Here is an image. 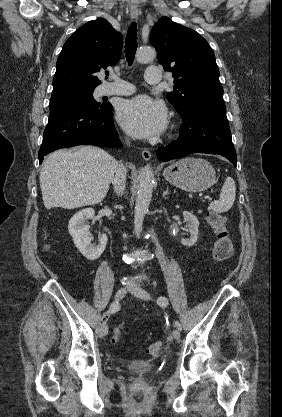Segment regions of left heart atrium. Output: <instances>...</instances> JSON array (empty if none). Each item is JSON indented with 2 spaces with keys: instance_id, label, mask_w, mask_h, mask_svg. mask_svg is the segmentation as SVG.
Returning <instances> with one entry per match:
<instances>
[{
  "instance_id": "left-heart-atrium-1",
  "label": "left heart atrium",
  "mask_w": 282,
  "mask_h": 417,
  "mask_svg": "<svg viewBox=\"0 0 282 417\" xmlns=\"http://www.w3.org/2000/svg\"><path fill=\"white\" fill-rule=\"evenodd\" d=\"M123 127L137 136L160 133L166 125V111L162 103L146 96L125 101L118 110Z\"/></svg>"
}]
</instances>
